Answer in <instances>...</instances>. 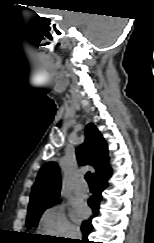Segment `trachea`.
Returning a JSON list of instances; mask_svg holds the SVG:
<instances>
[{
  "label": "trachea",
  "instance_id": "trachea-1",
  "mask_svg": "<svg viewBox=\"0 0 154 243\" xmlns=\"http://www.w3.org/2000/svg\"><path fill=\"white\" fill-rule=\"evenodd\" d=\"M85 179L88 182L90 187L94 186V183H93V180H92L90 172H87V174L85 175Z\"/></svg>",
  "mask_w": 154,
  "mask_h": 243
}]
</instances>
